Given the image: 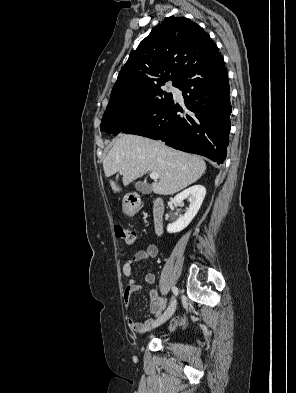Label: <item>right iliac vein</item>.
I'll return each mask as SVG.
<instances>
[{"instance_id":"1","label":"right iliac vein","mask_w":296,"mask_h":393,"mask_svg":"<svg viewBox=\"0 0 296 393\" xmlns=\"http://www.w3.org/2000/svg\"><path fill=\"white\" fill-rule=\"evenodd\" d=\"M177 302L176 300L172 301L167 310L154 321L153 328L158 327L165 323L175 312Z\"/></svg>"}]
</instances>
